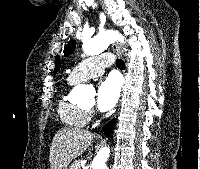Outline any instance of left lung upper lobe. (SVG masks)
<instances>
[{
  "mask_svg": "<svg viewBox=\"0 0 200 169\" xmlns=\"http://www.w3.org/2000/svg\"><path fill=\"white\" fill-rule=\"evenodd\" d=\"M75 44H76L75 42H72V43L68 44V46L65 47V49H64V54L65 55L70 54L71 50L75 47ZM60 64H61L60 57L57 56L56 57V65H55V69H54V74L56 72H58V70L60 69Z\"/></svg>",
  "mask_w": 200,
  "mask_h": 169,
  "instance_id": "obj_1",
  "label": "left lung upper lobe"
}]
</instances>
